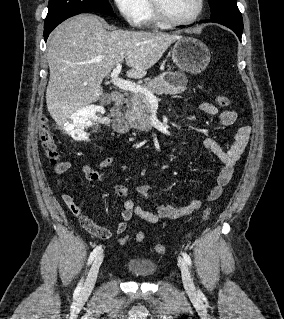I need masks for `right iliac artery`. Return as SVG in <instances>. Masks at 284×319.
<instances>
[{
	"mask_svg": "<svg viewBox=\"0 0 284 319\" xmlns=\"http://www.w3.org/2000/svg\"><path fill=\"white\" fill-rule=\"evenodd\" d=\"M101 250H102V246L99 245L91 252V254L89 256V259H88L87 265L92 263L94 258L101 252ZM81 288H82V280L79 282V284H78V286H77V288L75 290V294L79 295V293L81 291Z\"/></svg>",
	"mask_w": 284,
	"mask_h": 319,
	"instance_id": "1",
	"label": "right iliac artery"
}]
</instances>
